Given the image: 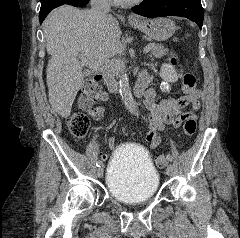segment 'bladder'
Listing matches in <instances>:
<instances>
[{"label": "bladder", "mask_w": 240, "mask_h": 238, "mask_svg": "<svg viewBox=\"0 0 240 238\" xmlns=\"http://www.w3.org/2000/svg\"><path fill=\"white\" fill-rule=\"evenodd\" d=\"M160 177L149 153L137 145L118 147L109 162L106 184L111 197L126 204L152 199Z\"/></svg>", "instance_id": "1"}]
</instances>
